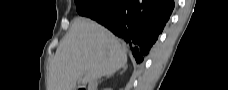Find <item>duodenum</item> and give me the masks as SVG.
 Listing matches in <instances>:
<instances>
[{
	"instance_id": "1",
	"label": "duodenum",
	"mask_w": 228,
	"mask_h": 90,
	"mask_svg": "<svg viewBox=\"0 0 228 90\" xmlns=\"http://www.w3.org/2000/svg\"><path fill=\"white\" fill-rule=\"evenodd\" d=\"M79 90H86V88L85 87H80Z\"/></svg>"
}]
</instances>
